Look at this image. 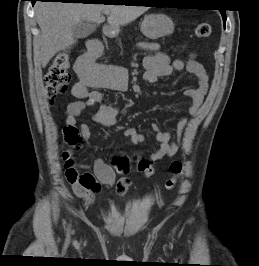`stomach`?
I'll use <instances>...</instances> for the list:
<instances>
[{"label":"stomach","mask_w":259,"mask_h":266,"mask_svg":"<svg viewBox=\"0 0 259 266\" xmlns=\"http://www.w3.org/2000/svg\"><path fill=\"white\" fill-rule=\"evenodd\" d=\"M174 31L172 20L166 15L152 14L145 16L141 23V32L149 39L155 40L170 35ZM118 33L119 29H112Z\"/></svg>","instance_id":"1"}]
</instances>
